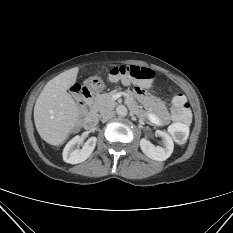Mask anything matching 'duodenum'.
<instances>
[{"label":"duodenum","instance_id":"1","mask_svg":"<svg viewBox=\"0 0 233 233\" xmlns=\"http://www.w3.org/2000/svg\"><path fill=\"white\" fill-rule=\"evenodd\" d=\"M83 97H85L86 99V103L90 106V112L88 113V115L86 116L85 119V126L87 128H92L95 126V124L97 123V119H98V115L96 110L93 107V102H94V95H93V91L88 88V87H83L82 88V94Z\"/></svg>","mask_w":233,"mask_h":233}]
</instances>
